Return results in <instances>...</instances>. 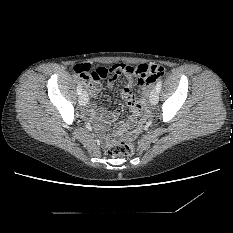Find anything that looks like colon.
I'll return each mask as SVG.
<instances>
[{"label":"colon","mask_w":233,"mask_h":233,"mask_svg":"<svg viewBox=\"0 0 233 233\" xmlns=\"http://www.w3.org/2000/svg\"><path fill=\"white\" fill-rule=\"evenodd\" d=\"M119 72L130 77H137L142 83H151L161 77L164 73V68L160 65H131V64H117ZM75 71L82 78L84 83L88 81H99L113 75L115 72L114 67H98L91 71L87 64H79L73 67ZM147 106V95L142 94L140 99V109ZM133 152V143L131 140H120L113 143L108 153L111 156H128Z\"/></svg>","instance_id":"5ec220e1"}]
</instances>
